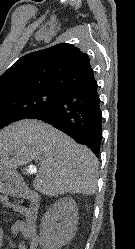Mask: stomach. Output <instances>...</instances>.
Instances as JSON below:
<instances>
[{
  "label": "stomach",
  "mask_w": 135,
  "mask_h": 249,
  "mask_svg": "<svg viewBox=\"0 0 135 249\" xmlns=\"http://www.w3.org/2000/svg\"><path fill=\"white\" fill-rule=\"evenodd\" d=\"M15 173L13 171L0 168V189H3L5 185H10V183L14 182Z\"/></svg>",
  "instance_id": "stomach-1"
}]
</instances>
